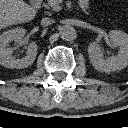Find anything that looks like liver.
Here are the masks:
<instances>
[{"instance_id": "6515ba94", "label": "liver", "mask_w": 128, "mask_h": 128, "mask_svg": "<svg viewBox=\"0 0 128 128\" xmlns=\"http://www.w3.org/2000/svg\"><path fill=\"white\" fill-rule=\"evenodd\" d=\"M37 11L23 0H0V30L33 20Z\"/></svg>"}]
</instances>
